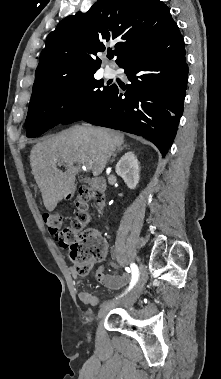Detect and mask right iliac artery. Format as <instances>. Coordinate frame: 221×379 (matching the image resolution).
Returning <instances> with one entry per match:
<instances>
[{
	"mask_svg": "<svg viewBox=\"0 0 221 379\" xmlns=\"http://www.w3.org/2000/svg\"><path fill=\"white\" fill-rule=\"evenodd\" d=\"M131 273H132V279H131L130 286H129L127 291H129L130 289L133 288V286L136 284V282L138 281V278H139V270H138V267L135 263L131 264ZM121 296H123V295H121Z\"/></svg>",
	"mask_w": 221,
	"mask_h": 379,
	"instance_id": "82829eb1",
	"label": "right iliac artery"
}]
</instances>
